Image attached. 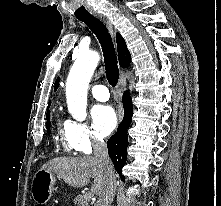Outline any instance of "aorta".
<instances>
[{
	"instance_id": "aorta-1",
	"label": "aorta",
	"mask_w": 221,
	"mask_h": 206,
	"mask_svg": "<svg viewBox=\"0 0 221 206\" xmlns=\"http://www.w3.org/2000/svg\"><path fill=\"white\" fill-rule=\"evenodd\" d=\"M99 59L97 52H82L69 72L66 82V98L68 111L76 120L82 121L87 116L88 85Z\"/></svg>"
}]
</instances>
